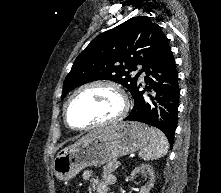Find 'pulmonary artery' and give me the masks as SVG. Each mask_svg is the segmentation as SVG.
<instances>
[{
    "label": "pulmonary artery",
    "mask_w": 221,
    "mask_h": 193,
    "mask_svg": "<svg viewBox=\"0 0 221 193\" xmlns=\"http://www.w3.org/2000/svg\"><path fill=\"white\" fill-rule=\"evenodd\" d=\"M138 70H141V67H138ZM141 76L143 77V76H144V73H142Z\"/></svg>",
    "instance_id": "obj_1"
}]
</instances>
